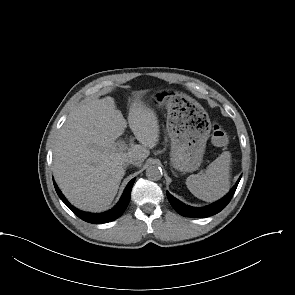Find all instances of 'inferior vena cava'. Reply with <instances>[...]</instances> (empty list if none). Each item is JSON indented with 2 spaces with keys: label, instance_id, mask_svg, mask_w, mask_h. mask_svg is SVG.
Here are the masks:
<instances>
[{
  "label": "inferior vena cava",
  "instance_id": "602c4592",
  "mask_svg": "<svg viewBox=\"0 0 295 295\" xmlns=\"http://www.w3.org/2000/svg\"><path fill=\"white\" fill-rule=\"evenodd\" d=\"M125 163L138 166L141 163V159L135 154H129L125 160Z\"/></svg>",
  "mask_w": 295,
  "mask_h": 295
}]
</instances>
